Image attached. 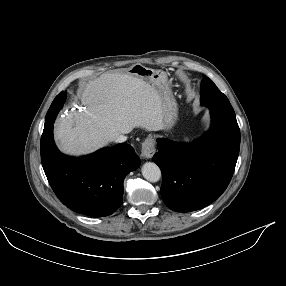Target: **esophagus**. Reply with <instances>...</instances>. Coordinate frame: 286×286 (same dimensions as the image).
Instances as JSON below:
<instances>
[{"instance_id": "obj_1", "label": "esophagus", "mask_w": 286, "mask_h": 286, "mask_svg": "<svg viewBox=\"0 0 286 286\" xmlns=\"http://www.w3.org/2000/svg\"><path fill=\"white\" fill-rule=\"evenodd\" d=\"M156 152L154 145V140L151 136H148L145 141L142 143L141 147V156L144 159H150Z\"/></svg>"}]
</instances>
